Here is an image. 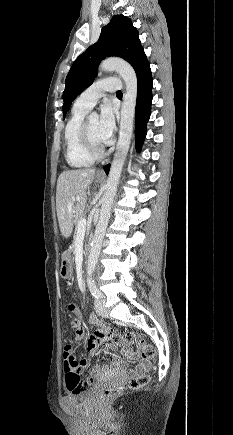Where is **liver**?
Wrapping results in <instances>:
<instances>
[{
	"mask_svg": "<svg viewBox=\"0 0 233 435\" xmlns=\"http://www.w3.org/2000/svg\"><path fill=\"white\" fill-rule=\"evenodd\" d=\"M94 175V169H83L67 170L58 177L56 210L60 230L65 238L71 236L73 224L83 215L88 200L87 190Z\"/></svg>",
	"mask_w": 233,
	"mask_h": 435,
	"instance_id": "liver-1",
	"label": "liver"
}]
</instances>
